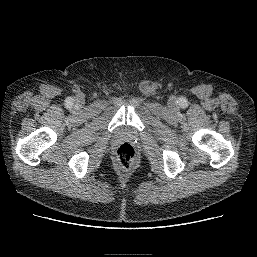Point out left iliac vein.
<instances>
[{
  "label": "left iliac vein",
  "mask_w": 257,
  "mask_h": 257,
  "mask_svg": "<svg viewBox=\"0 0 257 257\" xmlns=\"http://www.w3.org/2000/svg\"><path fill=\"white\" fill-rule=\"evenodd\" d=\"M168 105L170 108H174L177 106V99L175 97H171L169 99Z\"/></svg>",
  "instance_id": "obj_1"
}]
</instances>
